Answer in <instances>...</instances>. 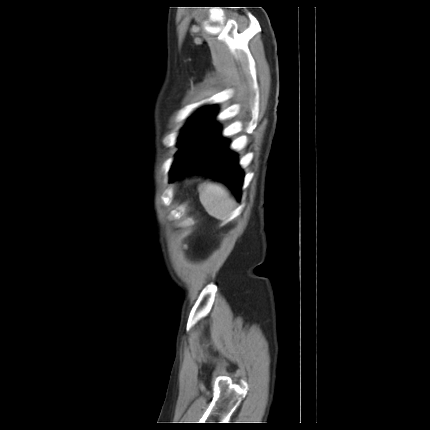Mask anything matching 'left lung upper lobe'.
I'll list each match as a JSON object with an SVG mask.
<instances>
[{
    "label": "left lung upper lobe",
    "mask_w": 430,
    "mask_h": 430,
    "mask_svg": "<svg viewBox=\"0 0 430 430\" xmlns=\"http://www.w3.org/2000/svg\"><path fill=\"white\" fill-rule=\"evenodd\" d=\"M215 114V107H204L196 112L191 118L190 123L184 128L178 141V146H182L193 135L197 127L206 120H212Z\"/></svg>",
    "instance_id": "obj_1"
}]
</instances>
